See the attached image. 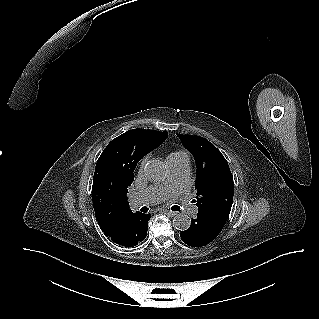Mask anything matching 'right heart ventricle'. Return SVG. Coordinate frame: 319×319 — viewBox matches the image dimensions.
Masks as SVG:
<instances>
[{"mask_svg":"<svg viewBox=\"0 0 319 319\" xmlns=\"http://www.w3.org/2000/svg\"><path fill=\"white\" fill-rule=\"evenodd\" d=\"M183 156H187L185 152H183V151H174V152L169 154V156L167 157V161L175 160V159L181 158Z\"/></svg>","mask_w":319,"mask_h":319,"instance_id":"e07e8e85","label":"right heart ventricle"}]
</instances>
